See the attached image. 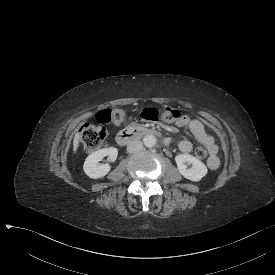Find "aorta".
<instances>
[{"instance_id": "762f6f07", "label": "aorta", "mask_w": 275, "mask_h": 275, "mask_svg": "<svg viewBox=\"0 0 275 275\" xmlns=\"http://www.w3.org/2000/svg\"><path fill=\"white\" fill-rule=\"evenodd\" d=\"M143 144L146 147H153L156 144V138L151 134L145 135L143 138Z\"/></svg>"}]
</instances>
